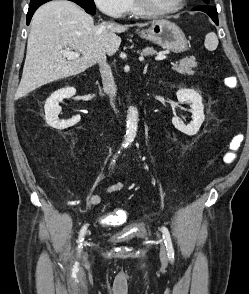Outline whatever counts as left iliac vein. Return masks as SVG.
<instances>
[{
  "instance_id": "4c4485c4",
  "label": "left iliac vein",
  "mask_w": 249,
  "mask_h": 294,
  "mask_svg": "<svg viewBox=\"0 0 249 294\" xmlns=\"http://www.w3.org/2000/svg\"><path fill=\"white\" fill-rule=\"evenodd\" d=\"M160 259L163 263L167 261V252L162 239H160Z\"/></svg>"
}]
</instances>
